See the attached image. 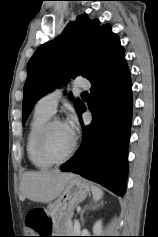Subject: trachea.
Returning a JSON list of instances; mask_svg holds the SVG:
<instances>
[{
	"instance_id": "trachea-1",
	"label": "trachea",
	"mask_w": 158,
	"mask_h": 237,
	"mask_svg": "<svg viewBox=\"0 0 158 237\" xmlns=\"http://www.w3.org/2000/svg\"><path fill=\"white\" fill-rule=\"evenodd\" d=\"M82 96H89V94L85 91V92H82Z\"/></svg>"
}]
</instances>
